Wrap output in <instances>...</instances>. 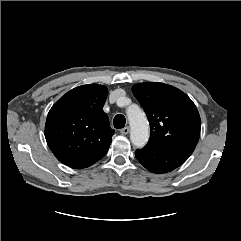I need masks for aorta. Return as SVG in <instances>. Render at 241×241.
Returning <instances> with one entry per match:
<instances>
[{
  "mask_svg": "<svg viewBox=\"0 0 241 241\" xmlns=\"http://www.w3.org/2000/svg\"><path fill=\"white\" fill-rule=\"evenodd\" d=\"M127 117L130 124V139L132 144L137 148L144 147L149 140V124L145 113L138 107L134 106L127 110Z\"/></svg>",
  "mask_w": 241,
  "mask_h": 241,
  "instance_id": "aorta-1",
  "label": "aorta"
}]
</instances>
